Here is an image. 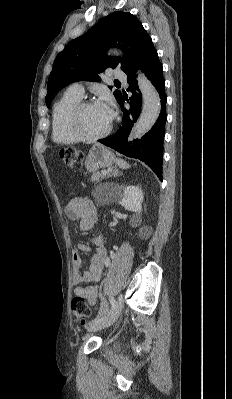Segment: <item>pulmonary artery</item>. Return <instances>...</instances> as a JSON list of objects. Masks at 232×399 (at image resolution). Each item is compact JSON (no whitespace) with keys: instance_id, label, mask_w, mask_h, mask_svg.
I'll return each instance as SVG.
<instances>
[{"instance_id":"obj_1","label":"pulmonary artery","mask_w":232,"mask_h":399,"mask_svg":"<svg viewBox=\"0 0 232 399\" xmlns=\"http://www.w3.org/2000/svg\"><path fill=\"white\" fill-rule=\"evenodd\" d=\"M110 74L113 80H124L125 78L123 69H111ZM66 94L67 96H84L83 83H69V89H67Z\"/></svg>"}]
</instances>
